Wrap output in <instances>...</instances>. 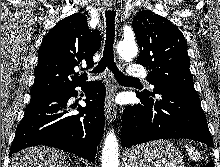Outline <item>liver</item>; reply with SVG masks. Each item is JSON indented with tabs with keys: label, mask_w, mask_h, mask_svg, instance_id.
<instances>
[{
	"label": "liver",
	"mask_w": 220,
	"mask_h": 167,
	"mask_svg": "<svg viewBox=\"0 0 220 167\" xmlns=\"http://www.w3.org/2000/svg\"><path fill=\"white\" fill-rule=\"evenodd\" d=\"M10 167H67L65 154L48 147H31L14 154Z\"/></svg>",
	"instance_id": "liver-1"
}]
</instances>
